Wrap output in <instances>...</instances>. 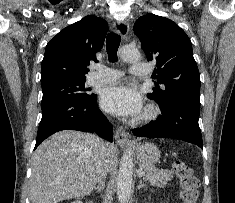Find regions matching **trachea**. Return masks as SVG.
Here are the masks:
<instances>
[{"instance_id":"1","label":"trachea","mask_w":235,"mask_h":203,"mask_svg":"<svg viewBox=\"0 0 235 203\" xmlns=\"http://www.w3.org/2000/svg\"><path fill=\"white\" fill-rule=\"evenodd\" d=\"M121 42V36L117 33H109L106 38V47L109 61H117V51Z\"/></svg>"}]
</instances>
